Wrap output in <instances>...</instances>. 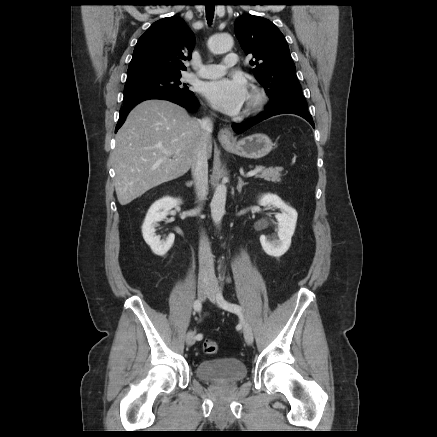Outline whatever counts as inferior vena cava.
I'll list each match as a JSON object with an SVG mask.
<instances>
[{"label":"inferior vena cava","instance_id":"obj_1","mask_svg":"<svg viewBox=\"0 0 437 437\" xmlns=\"http://www.w3.org/2000/svg\"><path fill=\"white\" fill-rule=\"evenodd\" d=\"M201 129L200 142L197 148L196 159L191 165L192 177L195 184L196 194L199 200H204L208 187V154L207 146L211 139L213 123L209 118L199 121ZM199 282L208 283L216 280L214 273V261L210 244L205 236L199 243Z\"/></svg>","mask_w":437,"mask_h":437}]
</instances>
